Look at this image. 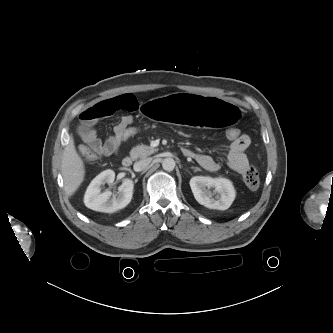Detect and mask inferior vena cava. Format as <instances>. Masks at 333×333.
Listing matches in <instances>:
<instances>
[{"label":"inferior vena cava","instance_id":"1","mask_svg":"<svg viewBox=\"0 0 333 333\" xmlns=\"http://www.w3.org/2000/svg\"><path fill=\"white\" fill-rule=\"evenodd\" d=\"M150 162H151V158L139 160L134 163V170L137 172L142 171L148 167Z\"/></svg>","mask_w":333,"mask_h":333}]
</instances>
